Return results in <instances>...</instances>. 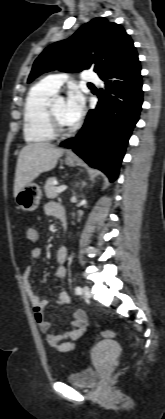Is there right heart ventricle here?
<instances>
[{"instance_id": "right-heart-ventricle-1", "label": "right heart ventricle", "mask_w": 165, "mask_h": 419, "mask_svg": "<svg viewBox=\"0 0 165 419\" xmlns=\"http://www.w3.org/2000/svg\"><path fill=\"white\" fill-rule=\"evenodd\" d=\"M55 94L42 82L35 84L27 94L23 109V132L26 141L45 143L55 139L48 118L47 107Z\"/></svg>"}]
</instances>
